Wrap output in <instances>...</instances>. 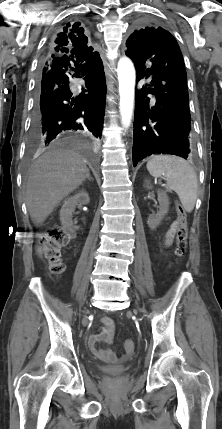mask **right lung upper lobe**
Here are the masks:
<instances>
[{
    "mask_svg": "<svg viewBox=\"0 0 222 429\" xmlns=\"http://www.w3.org/2000/svg\"><path fill=\"white\" fill-rule=\"evenodd\" d=\"M74 25L65 32L55 34L49 45V56L72 55L78 61H85L98 56V52L88 46V38L83 34L84 30Z\"/></svg>",
    "mask_w": 222,
    "mask_h": 429,
    "instance_id": "cb5924a9",
    "label": "right lung upper lobe"
}]
</instances>
